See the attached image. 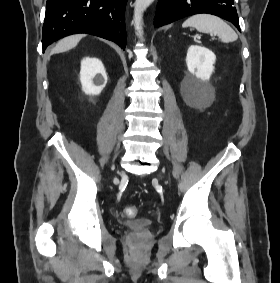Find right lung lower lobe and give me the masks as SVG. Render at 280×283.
<instances>
[{
    "label": "right lung lower lobe",
    "instance_id": "1",
    "mask_svg": "<svg viewBox=\"0 0 280 283\" xmlns=\"http://www.w3.org/2000/svg\"><path fill=\"white\" fill-rule=\"evenodd\" d=\"M127 0H47L42 48L65 36L89 33L126 47Z\"/></svg>",
    "mask_w": 280,
    "mask_h": 283
}]
</instances>
